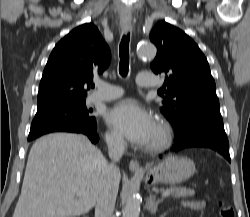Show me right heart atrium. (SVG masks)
Here are the masks:
<instances>
[{
  "mask_svg": "<svg viewBox=\"0 0 250 217\" xmlns=\"http://www.w3.org/2000/svg\"><path fill=\"white\" fill-rule=\"evenodd\" d=\"M107 142L114 147H122L124 145V139L120 133L116 131H108L106 133Z\"/></svg>",
  "mask_w": 250,
  "mask_h": 217,
  "instance_id": "d8ad5b80",
  "label": "right heart atrium"
}]
</instances>
